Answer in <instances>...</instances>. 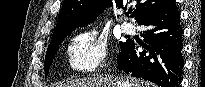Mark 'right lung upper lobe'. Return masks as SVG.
Returning <instances> with one entry per match:
<instances>
[{
  "mask_svg": "<svg viewBox=\"0 0 205 87\" xmlns=\"http://www.w3.org/2000/svg\"><path fill=\"white\" fill-rule=\"evenodd\" d=\"M132 0H64L55 30L52 34L54 39L70 34V32L79 26H85L91 23L100 15L106 7L115 6L123 8ZM168 0H137L132 17L138 23L146 15L162 7Z\"/></svg>",
  "mask_w": 205,
  "mask_h": 87,
  "instance_id": "1",
  "label": "right lung upper lobe"
}]
</instances>
